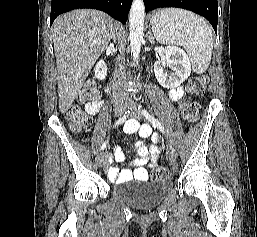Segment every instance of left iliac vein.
<instances>
[{"mask_svg":"<svg viewBox=\"0 0 257 237\" xmlns=\"http://www.w3.org/2000/svg\"><path fill=\"white\" fill-rule=\"evenodd\" d=\"M131 116L136 119L141 118V114L136 108H133V110L131 112ZM167 152H168V156L171 159L177 157V150H176L175 146L173 145V143H171V142L168 144Z\"/></svg>","mask_w":257,"mask_h":237,"instance_id":"4c4485c4","label":"left iliac vein"}]
</instances>
